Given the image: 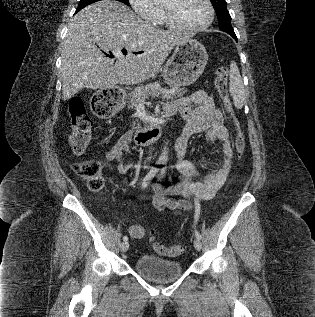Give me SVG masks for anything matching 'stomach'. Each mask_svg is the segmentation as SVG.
Masks as SVG:
<instances>
[{
	"instance_id": "stomach-1",
	"label": "stomach",
	"mask_w": 315,
	"mask_h": 317,
	"mask_svg": "<svg viewBox=\"0 0 315 317\" xmlns=\"http://www.w3.org/2000/svg\"><path fill=\"white\" fill-rule=\"evenodd\" d=\"M208 61L205 47L197 40L189 39L176 45L163 70V78L171 86L193 84L203 73ZM104 95H117V88H104Z\"/></svg>"
}]
</instances>
